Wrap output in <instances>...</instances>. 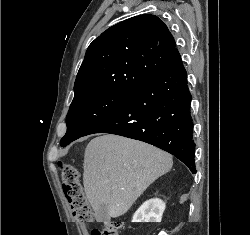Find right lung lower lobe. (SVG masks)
Instances as JSON below:
<instances>
[{"instance_id":"obj_1","label":"right lung lower lobe","mask_w":250,"mask_h":235,"mask_svg":"<svg viewBox=\"0 0 250 235\" xmlns=\"http://www.w3.org/2000/svg\"><path fill=\"white\" fill-rule=\"evenodd\" d=\"M190 102L187 73L176 51L161 73L84 136L110 133L140 140L171 153L196 173Z\"/></svg>"}]
</instances>
